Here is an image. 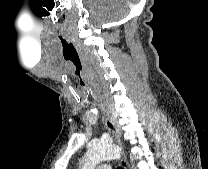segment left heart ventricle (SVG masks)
Returning <instances> with one entry per match:
<instances>
[{"instance_id": "left-heart-ventricle-1", "label": "left heart ventricle", "mask_w": 208, "mask_h": 169, "mask_svg": "<svg viewBox=\"0 0 208 169\" xmlns=\"http://www.w3.org/2000/svg\"><path fill=\"white\" fill-rule=\"evenodd\" d=\"M92 169H99V168L96 166V167H93Z\"/></svg>"}]
</instances>
